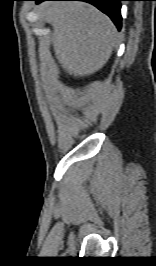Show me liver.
Segmentation results:
<instances>
[{"instance_id":"obj_1","label":"liver","mask_w":156,"mask_h":266,"mask_svg":"<svg viewBox=\"0 0 156 266\" xmlns=\"http://www.w3.org/2000/svg\"><path fill=\"white\" fill-rule=\"evenodd\" d=\"M40 8L53 28L55 57L66 73L84 77L103 68L118 41L109 17L84 2H47Z\"/></svg>"}]
</instances>
